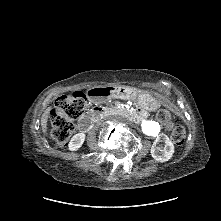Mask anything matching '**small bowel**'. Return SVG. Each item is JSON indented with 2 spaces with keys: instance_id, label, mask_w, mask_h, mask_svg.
Here are the masks:
<instances>
[{
  "instance_id": "1",
  "label": "small bowel",
  "mask_w": 221,
  "mask_h": 221,
  "mask_svg": "<svg viewBox=\"0 0 221 221\" xmlns=\"http://www.w3.org/2000/svg\"><path fill=\"white\" fill-rule=\"evenodd\" d=\"M141 117H145V114H141Z\"/></svg>"
}]
</instances>
